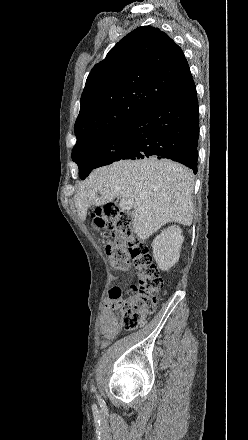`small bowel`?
<instances>
[{"instance_id":"small-bowel-1","label":"small bowel","mask_w":248,"mask_h":440,"mask_svg":"<svg viewBox=\"0 0 248 440\" xmlns=\"http://www.w3.org/2000/svg\"><path fill=\"white\" fill-rule=\"evenodd\" d=\"M115 308L107 300L101 315L100 331L103 337L102 347H106L119 333V327L115 321Z\"/></svg>"}]
</instances>
